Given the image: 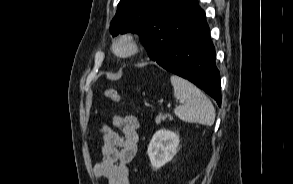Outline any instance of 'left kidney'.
Returning a JSON list of instances; mask_svg holds the SVG:
<instances>
[{
    "label": "left kidney",
    "mask_w": 293,
    "mask_h": 184,
    "mask_svg": "<svg viewBox=\"0 0 293 184\" xmlns=\"http://www.w3.org/2000/svg\"><path fill=\"white\" fill-rule=\"evenodd\" d=\"M178 146V134L165 129L157 131L147 149L152 167L159 169L171 161L177 153Z\"/></svg>",
    "instance_id": "1"
}]
</instances>
